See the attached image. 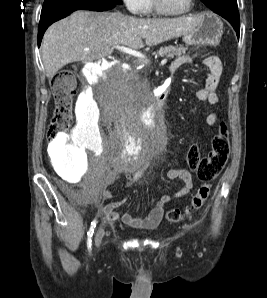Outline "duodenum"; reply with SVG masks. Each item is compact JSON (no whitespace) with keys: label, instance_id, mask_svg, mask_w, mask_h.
<instances>
[{"label":"duodenum","instance_id":"obj_1","mask_svg":"<svg viewBox=\"0 0 267 298\" xmlns=\"http://www.w3.org/2000/svg\"><path fill=\"white\" fill-rule=\"evenodd\" d=\"M165 97V93L158 95L156 98H153V100H150V105H156V109H166Z\"/></svg>","mask_w":267,"mask_h":298}]
</instances>
